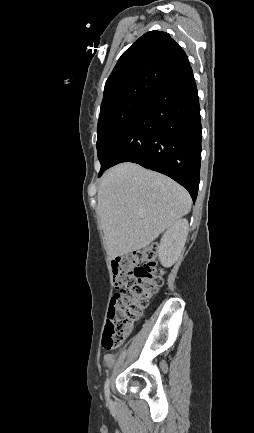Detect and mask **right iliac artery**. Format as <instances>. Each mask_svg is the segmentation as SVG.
<instances>
[{"label": "right iliac artery", "mask_w": 254, "mask_h": 433, "mask_svg": "<svg viewBox=\"0 0 254 433\" xmlns=\"http://www.w3.org/2000/svg\"><path fill=\"white\" fill-rule=\"evenodd\" d=\"M110 379L108 378L105 382V386H104V391H105V396L107 397V399L109 398V394H110Z\"/></svg>", "instance_id": "1"}]
</instances>
